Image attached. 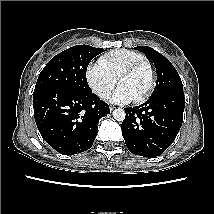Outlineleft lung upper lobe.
<instances>
[{
	"label": "left lung upper lobe",
	"instance_id": "left-lung-upper-lobe-1",
	"mask_svg": "<svg viewBox=\"0 0 214 214\" xmlns=\"http://www.w3.org/2000/svg\"><path fill=\"white\" fill-rule=\"evenodd\" d=\"M135 49L147 54L156 68L157 83L150 97L157 96L171 89H183V84L178 72L167 58L151 47L138 46L135 47Z\"/></svg>",
	"mask_w": 214,
	"mask_h": 214
}]
</instances>
